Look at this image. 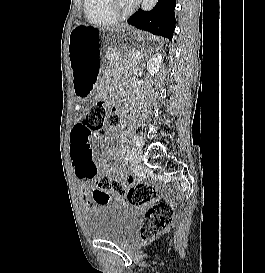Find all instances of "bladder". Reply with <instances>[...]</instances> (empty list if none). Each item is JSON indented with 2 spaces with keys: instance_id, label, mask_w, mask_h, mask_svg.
Wrapping results in <instances>:
<instances>
[{
  "instance_id": "bladder-1",
  "label": "bladder",
  "mask_w": 265,
  "mask_h": 273,
  "mask_svg": "<svg viewBox=\"0 0 265 273\" xmlns=\"http://www.w3.org/2000/svg\"><path fill=\"white\" fill-rule=\"evenodd\" d=\"M82 224L86 236L90 239L124 243L136 231L138 209L123 203L100 206L86 213Z\"/></svg>"
}]
</instances>
